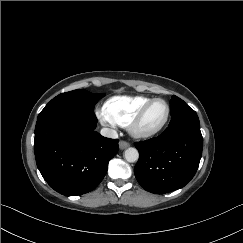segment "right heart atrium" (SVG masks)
<instances>
[{"label":"right heart atrium","instance_id":"1","mask_svg":"<svg viewBox=\"0 0 243 243\" xmlns=\"http://www.w3.org/2000/svg\"><path fill=\"white\" fill-rule=\"evenodd\" d=\"M99 116H100L102 121L109 123V124H113V121L110 118H108L104 112H101L99 114Z\"/></svg>","mask_w":243,"mask_h":243}]
</instances>
